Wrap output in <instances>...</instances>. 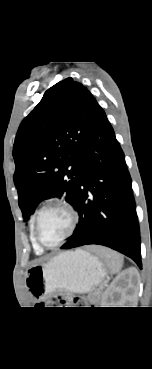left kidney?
Segmentation results:
<instances>
[{"label": "left kidney", "mask_w": 152, "mask_h": 369, "mask_svg": "<svg viewBox=\"0 0 152 369\" xmlns=\"http://www.w3.org/2000/svg\"><path fill=\"white\" fill-rule=\"evenodd\" d=\"M139 285V274L135 268L123 272L111 287L102 296V307H119L130 297L129 290H137Z\"/></svg>", "instance_id": "1"}]
</instances>
